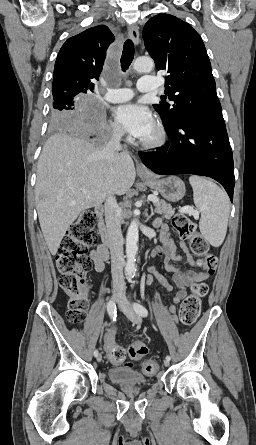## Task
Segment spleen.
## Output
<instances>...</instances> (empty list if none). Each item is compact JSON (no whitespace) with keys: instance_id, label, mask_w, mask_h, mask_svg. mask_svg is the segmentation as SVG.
Masks as SVG:
<instances>
[{"instance_id":"3e777b00","label":"spleen","mask_w":256,"mask_h":445,"mask_svg":"<svg viewBox=\"0 0 256 445\" xmlns=\"http://www.w3.org/2000/svg\"><path fill=\"white\" fill-rule=\"evenodd\" d=\"M194 204L201 213L199 229L212 246H220L226 236L230 214L229 199L225 192L211 180L190 176Z\"/></svg>"}]
</instances>
